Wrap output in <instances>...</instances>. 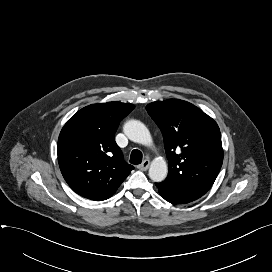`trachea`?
Segmentation results:
<instances>
[{"mask_svg": "<svg viewBox=\"0 0 272 272\" xmlns=\"http://www.w3.org/2000/svg\"><path fill=\"white\" fill-rule=\"evenodd\" d=\"M142 159H143V155H142V152L140 150L134 149L131 152V156H130V163L131 164H134V165L141 164Z\"/></svg>", "mask_w": 272, "mask_h": 272, "instance_id": "3493384b", "label": "trachea"}]
</instances>
